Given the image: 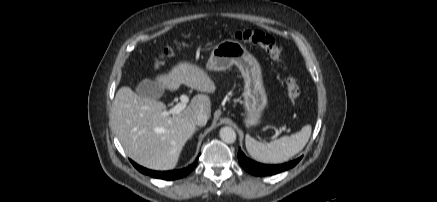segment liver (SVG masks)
Masks as SVG:
<instances>
[{"mask_svg":"<svg viewBox=\"0 0 437 202\" xmlns=\"http://www.w3.org/2000/svg\"><path fill=\"white\" fill-rule=\"evenodd\" d=\"M156 81L169 91L178 90L182 84L203 93L216 89L202 67L187 61L156 76ZM167 112L163 102L142 97L128 86L117 91L112 106L115 132L126 155L139 165L153 170L174 168L183 147L196 131L197 114L211 115L210 97L195 95L179 114Z\"/></svg>","mask_w":437,"mask_h":202,"instance_id":"6515ba94","label":"liver"}]
</instances>
